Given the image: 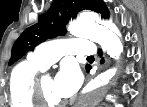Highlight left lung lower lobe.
Segmentation results:
<instances>
[{
	"label": "left lung lower lobe",
	"mask_w": 147,
	"mask_h": 107,
	"mask_svg": "<svg viewBox=\"0 0 147 107\" xmlns=\"http://www.w3.org/2000/svg\"><path fill=\"white\" fill-rule=\"evenodd\" d=\"M99 54H100V55H102V53H101V52H100ZM90 69H91V66H89L88 68H86V71H87V72H89V71H90Z\"/></svg>",
	"instance_id": "obj_1"
}]
</instances>
